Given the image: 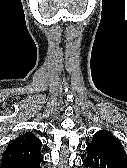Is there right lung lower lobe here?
<instances>
[{
	"label": "right lung lower lobe",
	"instance_id": "obj_1",
	"mask_svg": "<svg viewBox=\"0 0 127 168\" xmlns=\"http://www.w3.org/2000/svg\"><path fill=\"white\" fill-rule=\"evenodd\" d=\"M43 158L33 160H5L2 161L0 168H39Z\"/></svg>",
	"mask_w": 127,
	"mask_h": 168
}]
</instances>
